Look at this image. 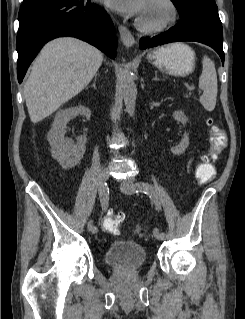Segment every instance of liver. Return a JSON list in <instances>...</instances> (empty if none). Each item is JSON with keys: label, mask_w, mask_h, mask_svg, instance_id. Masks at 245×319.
<instances>
[{"label": "liver", "mask_w": 245, "mask_h": 319, "mask_svg": "<svg viewBox=\"0 0 245 319\" xmlns=\"http://www.w3.org/2000/svg\"><path fill=\"white\" fill-rule=\"evenodd\" d=\"M102 62L101 51L79 39L63 37L46 44L24 86L31 122H40L80 93Z\"/></svg>", "instance_id": "6515ba94"}]
</instances>
